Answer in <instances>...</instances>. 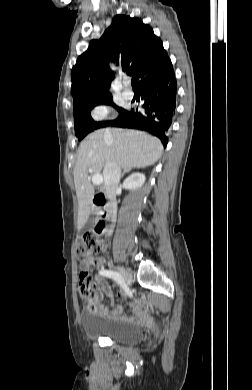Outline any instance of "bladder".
I'll use <instances>...</instances> for the list:
<instances>
[{
  "label": "bladder",
  "mask_w": 252,
  "mask_h": 390,
  "mask_svg": "<svg viewBox=\"0 0 252 390\" xmlns=\"http://www.w3.org/2000/svg\"><path fill=\"white\" fill-rule=\"evenodd\" d=\"M81 321L83 331L88 337L108 338L125 346L138 344L144 338L143 328L136 323L84 315H82Z\"/></svg>",
  "instance_id": "31cf9c89"
}]
</instances>
